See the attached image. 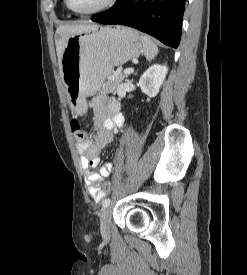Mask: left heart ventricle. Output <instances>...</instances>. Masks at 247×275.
Segmentation results:
<instances>
[{"instance_id":"b2bd125f","label":"left heart ventricle","mask_w":247,"mask_h":275,"mask_svg":"<svg viewBox=\"0 0 247 275\" xmlns=\"http://www.w3.org/2000/svg\"><path fill=\"white\" fill-rule=\"evenodd\" d=\"M105 0H68L72 9L77 11H88L101 5Z\"/></svg>"}]
</instances>
